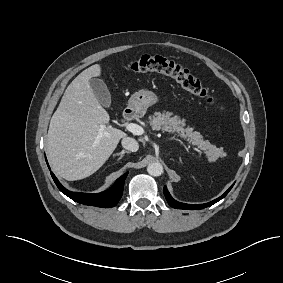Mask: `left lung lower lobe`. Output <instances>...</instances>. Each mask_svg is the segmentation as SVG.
Returning <instances> with one entry per match:
<instances>
[{"label": "left lung lower lobe", "instance_id": "1", "mask_svg": "<svg viewBox=\"0 0 283 283\" xmlns=\"http://www.w3.org/2000/svg\"><path fill=\"white\" fill-rule=\"evenodd\" d=\"M232 186L222 196H220L219 198H217V199H215V200H213V201H211L209 203H205V204H185V203H180V202H177L176 200H174L171 197V195L169 194V192H168L166 187H164L163 192H164V195H165L166 200L168 201L169 205L172 206L173 208L195 210V209H203V208H206V207H209V206L215 204L216 202H218L219 200H221L222 198H224L227 195V193L231 190Z\"/></svg>", "mask_w": 283, "mask_h": 283}]
</instances>
